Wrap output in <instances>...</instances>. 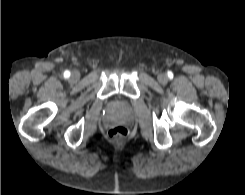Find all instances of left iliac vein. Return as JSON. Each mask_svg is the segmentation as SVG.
<instances>
[{
    "label": "left iliac vein",
    "instance_id": "1",
    "mask_svg": "<svg viewBox=\"0 0 245 195\" xmlns=\"http://www.w3.org/2000/svg\"><path fill=\"white\" fill-rule=\"evenodd\" d=\"M157 79H158V81H159L161 84H165V83H167V81H168V78H167L166 74H164V73H160V74L158 75Z\"/></svg>",
    "mask_w": 245,
    "mask_h": 195
}]
</instances>
